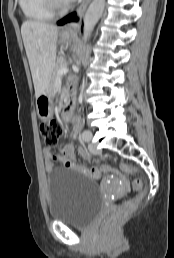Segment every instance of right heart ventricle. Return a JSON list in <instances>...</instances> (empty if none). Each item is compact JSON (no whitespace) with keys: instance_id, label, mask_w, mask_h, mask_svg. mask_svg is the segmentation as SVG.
<instances>
[{"instance_id":"1","label":"right heart ventricle","mask_w":174,"mask_h":258,"mask_svg":"<svg viewBox=\"0 0 174 258\" xmlns=\"http://www.w3.org/2000/svg\"><path fill=\"white\" fill-rule=\"evenodd\" d=\"M19 5L25 17L31 21H48L54 15L45 0H19Z\"/></svg>"}]
</instances>
